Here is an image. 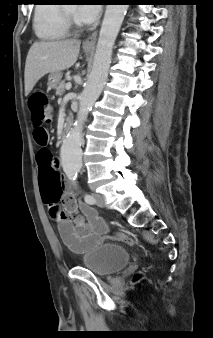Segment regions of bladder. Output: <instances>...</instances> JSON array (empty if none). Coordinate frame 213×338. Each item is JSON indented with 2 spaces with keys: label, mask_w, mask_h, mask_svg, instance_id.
Returning <instances> with one entry per match:
<instances>
[{
  "label": "bladder",
  "mask_w": 213,
  "mask_h": 338,
  "mask_svg": "<svg viewBox=\"0 0 213 338\" xmlns=\"http://www.w3.org/2000/svg\"><path fill=\"white\" fill-rule=\"evenodd\" d=\"M131 259L129 250L118 244L100 245L81 258L82 266L100 277H107L125 268Z\"/></svg>",
  "instance_id": "1"
}]
</instances>
